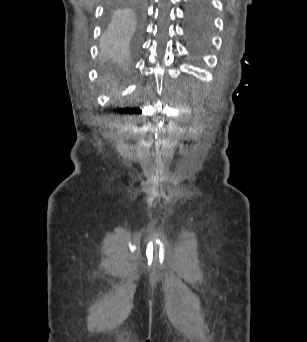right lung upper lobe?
<instances>
[{"instance_id": "obj_1", "label": "right lung upper lobe", "mask_w": 307, "mask_h": 342, "mask_svg": "<svg viewBox=\"0 0 307 342\" xmlns=\"http://www.w3.org/2000/svg\"><path fill=\"white\" fill-rule=\"evenodd\" d=\"M130 2H120L118 6L137 14L140 11V6L138 2H134L135 0H129Z\"/></svg>"}]
</instances>
